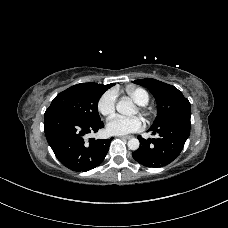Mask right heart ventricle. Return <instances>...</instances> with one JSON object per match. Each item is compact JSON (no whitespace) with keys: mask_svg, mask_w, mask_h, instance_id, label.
Masks as SVG:
<instances>
[{"mask_svg":"<svg viewBox=\"0 0 228 228\" xmlns=\"http://www.w3.org/2000/svg\"><path fill=\"white\" fill-rule=\"evenodd\" d=\"M126 92L132 98V100L140 106H145L150 101L149 93L143 88L128 87L126 88Z\"/></svg>","mask_w":228,"mask_h":228,"instance_id":"1","label":"right heart ventricle"}]
</instances>
